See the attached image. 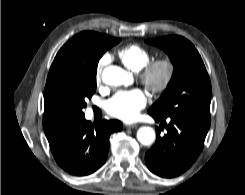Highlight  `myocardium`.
I'll use <instances>...</instances> for the list:
<instances>
[{
    "label": "myocardium",
    "mask_w": 245,
    "mask_h": 195,
    "mask_svg": "<svg viewBox=\"0 0 245 195\" xmlns=\"http://www.w3.org/2000/svg\"><path fill=\"white\" fill-rule=\"evenodd\" d=\"M176 73L174 60L164 56L150 61L140 70V80L152 93L159 94L166 91L171 85Z\"/></svg>",
    "instance_id": "myocardium-1"
}]
</instances>
